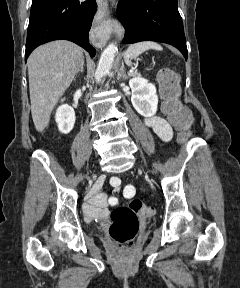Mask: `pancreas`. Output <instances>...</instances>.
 Segmentation results:
<instances>
[{"label":"pancreas","mask_w":240,"mask_h":288,"mask_svg":"<svg viewBox=\"0 0 240 288\" xmlns=\"http://www.w3.org/2000/svg\"><path fill=\"white\" fill-rule=\"evenodd\" d=\"M135 75H137L136 73H131V74H129V76H135Z\"/></svg>","instance_id":"cf45deb5"}]
</instances>
